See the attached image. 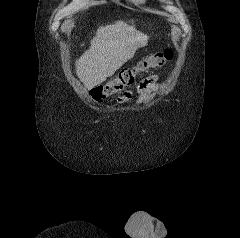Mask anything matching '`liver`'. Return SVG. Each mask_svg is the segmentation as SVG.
<instances>
[{"instance_id": "liver-1", "label": "liver", "mask_w": 240, "mask_h": 238, "mask_svg": "<svg viewBox=\"0 0 240 238\" xmlns=\"http://www.w3.org/2000/svg\"><path fill=\"white\" fill-rule=\"evenodd\" d=\"M147 42V35L122 21L100 27L90 48L76 61V74L86 89H92L111 77Z\"/></svg>"}]
</instances>
